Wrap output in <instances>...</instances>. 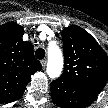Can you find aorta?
I'll return each instance as SVG.
<instances>
[{
    "label": "aorta",
    "mask_w": 108,
    "mask_h": 108,
    "mask_svg": "<svg viewBox=\"0 0 108 108\" xmlns=\"http://www.w3.org/2000/svg\"><path fill=\"white\" fill-rule=\"evenodd\" d=\"M63 70V54L59 47H48V63H47V75L51 79L58 78Z\"/></svg>",
    "instance_id": "aorta-1"
}]
</instances>
